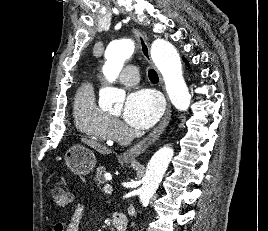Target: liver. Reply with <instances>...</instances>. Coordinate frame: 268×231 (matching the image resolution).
I'll return each mask as SVG.
<instances>
[{
	"instance_id": "obj_1",
	"label": "liver",
	"mask_w": 268,
	"mask_h": 231,
	"mask_svg": "<svg viewBox=\"0 0 268 231\" xmlns=\"http://www.w3.org/2000/svg\"><path fill=\"white\" fill-rule=\"evenodd\" d=\"M84 143H86L87 145H89L90 147L96 149L98 152L100 153H104L107 151V148L104 147V146H101L100 144H98L97 142L95 141H92V140H87V139H83L82 140Z\"/></svg>"
}]
</instances>
